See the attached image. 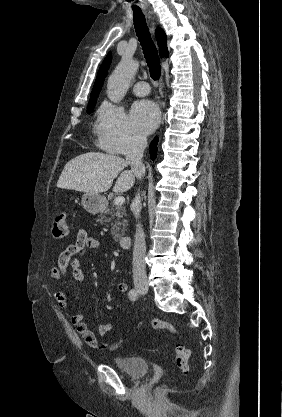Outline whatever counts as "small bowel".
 Masks as SVG:
<instances>
[{"instance_id":"small-bowel-1","label":"small bowel","mask_w":282,"mask_h":417,"mask_svg":"<svg viewBox=\"0 0 282 417\" xmlns=\"http://www.w3.org/2000/svg\"><path fill=\"white\" fill-rule=\"evenodd\" d=\"M99 245V241L90 236L86 230H79L75 244L60 252L58 255L56 263L51 270V278L54 281L59 282L70 270L72 278L77 283H83L84 274L80 267L79 257L84 255L88 249L94 250L99 248ZM117 290L121 293H127L129 287L127 283L119 282L117 284ZM53 297L60 308H67L68 300L63 290L56 289L53 293ZM71 321L77 333L81 336L83 342L91 349L101 353L116 351L131 331V328H128L123 332L121 337L102 341L97 337V335L105 336L112 332L117 326V321L115 319L98 324L95 327V332L88 328L84 321V316L80 313L73 315L71 317Z\"/></svg>"}]
</instances>
